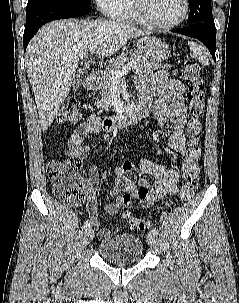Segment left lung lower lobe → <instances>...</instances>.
<instances>
[{"mask_svg": "<svg viewBox=\"0 0 239 303\" xmlns=\"http://www.w3.org/2000/svg\"><path fill=\"white\" fill-rule=\"evenodd\" d=\"M172 32L183 34L200 40L209 49L213 59L215 60L216 28L214 21L200 22L183 29L172 30Z\"/></svg>", "mask_w": 239, "mask_h": 303, "instance_id": "left-lung-lower-lobe-1", "label": "left lung lower lobe"}]
</instances>
